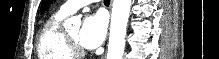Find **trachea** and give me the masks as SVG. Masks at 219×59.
I'll list each match as a JSON object with an SVG mask.
<instances>
[{
	"mask_svg": "<svg viewBox=\"0 0 219 59\" xmlns=\"http://www.w3.org/2000/svg\"><path fill=\"white\" fill-rule=\"evenodd\" d=\"M104 3H110V0H104Z\"/></svg>",
	"mask_w": 219,
	"mask_h": 59,
	"instance_id": "3493384b",
	"label": "trachea"
}]
</instances>
